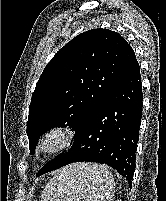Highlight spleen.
Segmentation results:
<instances>
[{"mask_svg": "<svg viewBox=\"0 0 166 201\" xmlns=\"http://www.w3.org/2000/svg\"><path fill=\"white\" fill-rule=\"evenodd\" d=\"M114 178L102 165L74 163L58 170L48 182L41 201H110Z\"/></svg>", "mask_w": 166, "mask_h": 201, "instance_id": "3e777b00", "label": "spleen"}]
</instances>
